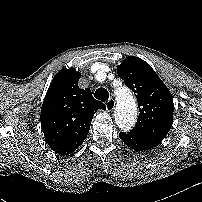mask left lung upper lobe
I'll list each match as a JSON object with an SVG mask.
<instances>
[{"label": "left lung upper lobe", "instance_id": "5c2ea615", "mask_svg": "<svg viewBox=\"0 0 202 202\" xmlns=\"http://www.w3.org/2000/svg\"><path fill=\"white\" fill-rule=\"evenodd\" d=\"M117 73L138 100L139 117L130 131L135 135L163 140L173 122V98L165 84L144 60L130 56Z\"/></svg>", "mask_w": 202, "mask_h": 202}]
</instances>
